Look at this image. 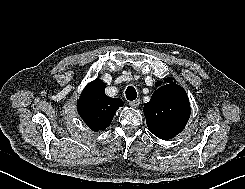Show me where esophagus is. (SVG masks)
Returning a JSON list of instances; mask_svg holds the SVG:
<instances>
[{"instance_id":"obj_1","label":"esophagus","mask_w":245,"mask_h":189,"mask_svg":"<svg viewBox=\"0 0 245 189\" xmlns=\"http://www.w3.org/2000/svg\"><path fill=\"white\" fill-rule=\"evenodd\" d=\"M139 104H140V100H139V99H136V100H134V101H130V102H129V105H130L131 107H134V108L138 107Z\"/></svg>"}]
</instances>
